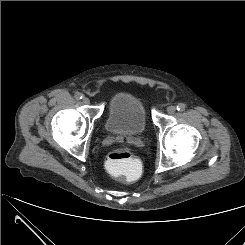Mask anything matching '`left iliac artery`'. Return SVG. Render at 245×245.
I'll list each match as a JSON object with an SVG mask.
<instances>
[{"label":"left iliac artery","mask_w":245,"mask_h":245,"mask_svg":"<svg viewBox=\"0 0 245 245\" xmlns=\"http://www.w3.org/2000/svg\"><path fill=\"white\" fill-rule=\"evenodd\" d=\"M185 108H186V105L184 103H179L177 105V110L180 111V112L184 111Z\"/></svg>","instance_id":"1"}]
</instances>
